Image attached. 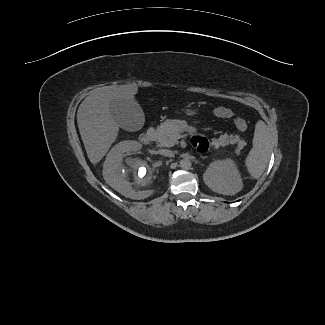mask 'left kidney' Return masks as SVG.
<instances>
[{
  "instance_id": "1",
  "label": "left kidney",
  "mask_w": 325,
  "mask_h": 325,
  "mask_svg": "<svg viewBox=\"0 0 325 325\" xmlns=\"http://www.w3.org/2000/svg\"><path fill=\"white\" fill-rule=\"evenodd\" d=\"M203 180L212 191L223 195H234L242 189L241 176L231 159L212 162Z\"/></svg>"
}]
</instances>
